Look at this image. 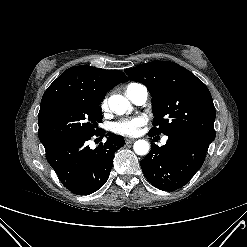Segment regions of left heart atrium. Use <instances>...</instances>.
<instances>
[{"instance_id": "obj_1", "label": "left heart atrium", "mask_w": 247, "mask_h": 247, "mask_svg": "<svg viewBox=\"0 0 247 247\" xmlns=\"http://www.w3.org/2000/svg\"><path fill=\"white\" fill-rule=\"evenodd\" d=\"M147 123L144 115H135L121 118L111 124V130L120 135L133 136L139 133L140 128Z\"/></svg>"}]
</instances>
